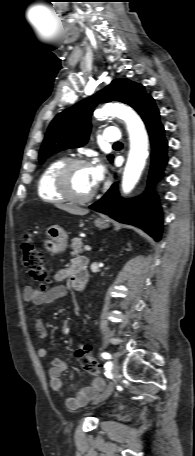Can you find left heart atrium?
Listing matches in <instances>:
<instances>
[{"label": "left heart atrium", "mask_w": 195, "mask_h": 456, "mask_svg": "<svg viewBox=\"0 0 195 456\" xmlns=\"http://www.w3.org/2000/svg\"><path fill=\"white\" fill-rule=\"evenodd\" d=\"M105 168L102 164L91 167L92 182L94 188L103 180Z\"/></svg>", "instance_id": "obj_1"}]
</instances>
